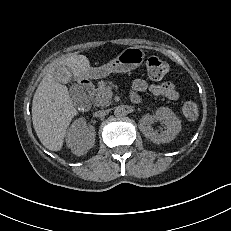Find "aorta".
<instances>
[{
	"instance_id": "obj_1",
	"label": "aorta",
	"mask_w": 231,
	"mask_h": 231,
	"mask_svg": "<svg viewBox=\"0 0 231 231\" xmlns=\"http://www.w3.org/2000/svg\"><path fill=\"white\" fill-rule=\"evenodd\" d=\"M114 115L117 118H123L127 115V111L123 106H117L114 110Z\"/></svg>"
}]
</instances>
